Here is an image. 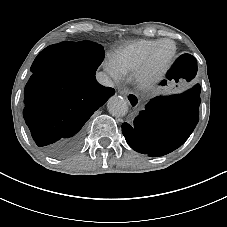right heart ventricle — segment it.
Listing matches in <instances>:
<instances>
[{"label":"right heart ventricle","mask_w":227,"mask_h":227,"mask_svg":"<svg viewBox=\"0 0 227 227\" xmlns=\"http://www.w3.org/2000/svg\"><path fill=\"white\" fill-rule=\"evenodd\" d=\"M161 41L160 39L125 41L116 47L111 56V62L124 72L133 71L147 60Z\"/></svg>","instance_id":"right-heart-ventricle-1"}]
</instances>
